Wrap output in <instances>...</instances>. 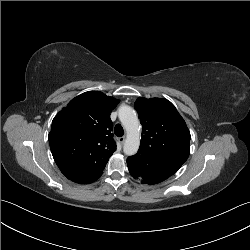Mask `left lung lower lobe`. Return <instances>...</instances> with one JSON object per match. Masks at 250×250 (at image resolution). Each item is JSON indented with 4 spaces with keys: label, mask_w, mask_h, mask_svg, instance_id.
<instances>
[{
    "label": "left lung lower lobe",
    "mask_w": 250,
    "mask_h": 250,
    "mask_svg": "<svg viewBox=\"0 0 250 250\" xmlns=\"http://www.w3.org/2000/svg\"><path fill=\"white\" fill-rule=\"evenodd\" d=\"M127 165L133 178L140 180L141 183L157 184L176 172L154 164L147 156L139 153L129 157Z\"/></svg>",
    "instance_id": "0a47b994"
}]
</instances>
